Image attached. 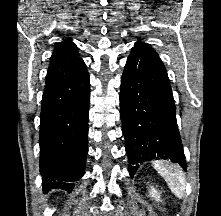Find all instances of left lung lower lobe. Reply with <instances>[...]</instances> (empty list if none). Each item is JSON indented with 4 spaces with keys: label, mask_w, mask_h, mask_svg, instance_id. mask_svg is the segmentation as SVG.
I'll return each instance as SVG.
<instances>
[{
    "label": "left lung lower lobe",
    "mask_w": 221,
    "mask_h": 216,
    "mask_svg": "<svg viewBox=\"0 0 221 216\" xmlns=\"http://www.w3.org/2000/svg\"><path fill=\"white\" fill-rule=\"evenodd\" d=\"M120 115L133 177L138 164L170 159L186 170L167 72L155 50L136 42L121 78Z\"/></svg>",
    "instance_id": "0a47b994"
}]
</instances>
